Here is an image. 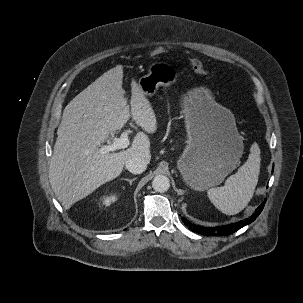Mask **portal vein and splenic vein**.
<instances>
[{"label":"portal vein and splenic vein","mask_w":303,"mask_h":303,"mask_svg":"<svg viewBox=\"0 0 303 303\" xmlns=\"http://www.w3.org/2000/svg\"><path fill=\"white\" fill-rule=\"evenodd\" d=\"M128 133H129V130H125L121 134L120 138H114V141L112 144L101 146L99 149V152L102 154H105V153H109V152H114L119 149L127 148L130 144V141L128 138Z\"/></svg>","instance_id":"obj_1"}]
</instances>
